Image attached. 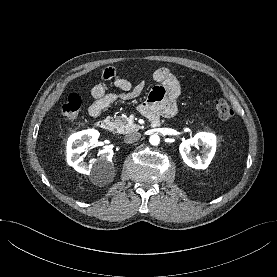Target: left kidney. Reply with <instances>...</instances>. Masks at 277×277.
<instances>
[{
  "label": "left kidney",
  "instance_id": "5707ae66",
  "mask_svg": "<svg viewBox=\"0 0 277 277\" xmlns=\"http://www.w3.org/2000/svg\"><path fill=\"white\" fill-rule=\"evenodd\" d=\"M202 146V156L194 157L190 152L191 146ZM184 162L195 169H206L216 151V136L212 133L200 132L193 138L183 141L179 146Z\"/></svg>",
  "mask_w": 277,
  "mask_h": 277
}]
</instances>
